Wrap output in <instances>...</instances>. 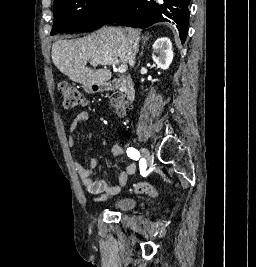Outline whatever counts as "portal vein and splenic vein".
<instances>
[{"label":"portal vein and splenic vein","instance_id":"obj_1","mask_svg":"<svg viewBox=\"0 0 256 267\" xmlns=\"http://www.w3.org/2000/svg\"><path fill=\"white\" fill-rule=\"evenodd\" d=\"M90 64H100V62H90ZM110 64H113V66H117V64H119V60H105L104 64H102V66H110ZM128 66H126V64H121V66H119L118 68V72H120V74H123V72H126Z\"/></svg>","mask_w":256,"mask_h":267}]
</instances>
